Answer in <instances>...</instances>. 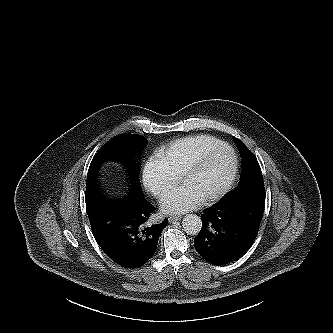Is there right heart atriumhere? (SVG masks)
<instances>
[{
	"label": "right heart atrium",
	"mask_w": 333,
	"mask_h": 333,
	"mask_svg": "<svg viewBox=\"0 0 333 333\" xmlns=\"http://www.w3.org/2000/svg\"><path fill=\"white\" fill-rule=\"evenodd\" d=\"M177 180L160 154H153L146 160L142 169V183L155 197L162 196Z\"/></svg>",
	"instance_id": "1"
}]
</instances>
